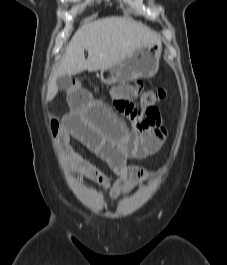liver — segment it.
I'll return each instance as SVG.
<instances>
[{"label":"liver","mask_w":227,"mask_h":265,"mask_svg":"<svg viewBox=\"0 0 227 265\" xmlns=\"http://www.w3.org/2000/svg\"><path fill=\"white\" fill-rule=\"evenodd\" d=\"M158 43L160 37L155 32L124 17L111 16L85 23L72 37L63 59L49 79L47 100H52L58 92V77L110 68L136 48ZM84 50L88 51L87 60Z\"/></svg>","instance_id":"obj_1"}]
</instances>
